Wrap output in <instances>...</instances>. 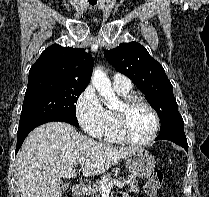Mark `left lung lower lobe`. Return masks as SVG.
<instances>
[{
	"instance_id": "left-lung-lower-lobe-1",
	"label": "left lung lower lobe",
	"mask_w": 209,
	"mask_h": 197,
	"mask_svg": "<svg viewBox=\"0 0 209 197\" xmlns=\"http://www.w3.org/2000/svg\"><path fill=\"white\" fill-rule=\"evenodd\" d=\"M155 140H169L182 146L188 152V143L184 133V128L170 129L159 133Z\"/></svg>"
}]
</instances>
